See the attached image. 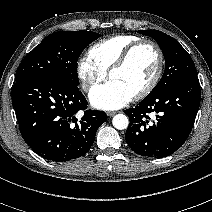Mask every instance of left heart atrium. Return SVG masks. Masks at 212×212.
I'll list each match as a JSON object with an SVG mask.
<instances>
[{
    "label": "left heart atrium",
    "instance_id": "1",
    "mask_svg": "<svg viewBox=\"0 0 212 212\" xmlns=\"http://www.w3.org/2000/svg\"><path fill=\"white\" fill-rule=\"evenodd\" d=\"M91 104L103 110H114L128 104L133 95L113 81L94 88L89 95Z\"/></svg>",
    "mask_w": 212,
    "mask_h": 212
}]
</instances>
